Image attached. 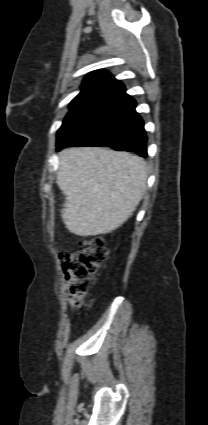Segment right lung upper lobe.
<instances>
[{
    "label": "right lung upper lobe",
    "mask_w": 208,
    "mask_h": 425,
    "mask_svg": "<svg viewBox=\"0 0 208 425\" xmlns=\"http://www.w3.org/2000/svg\"><path fill=\"white\" fill-rule=\"evenodd\" d=\"M117 81L107 71L97 70L89 73L82 83L80 93H100Z\"/></svg>",
    "instance_id": "right-lung-upper-lobe-1"
}]
</instances>
